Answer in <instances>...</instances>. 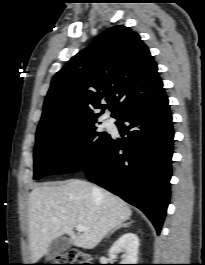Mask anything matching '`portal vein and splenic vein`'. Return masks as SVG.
<instances>
[{
    "label": "portal vein and splenic vein",
    "instance_id": "18ae733b",
    "mask_svg": "<svg viewBox=\"0 0 205 265\" xmlns=\"http://www.w3.org/2000/svg\"><path fill=\"white\" fill-rule=\"evenodd\" d=\"M76 230H77L78 232H83V231L86 230V228H85L84 226H82V225H77V226H76Z\"/></svg>",
    "mask_w": 205,
    "mask_h": 265
}]
</instances>
